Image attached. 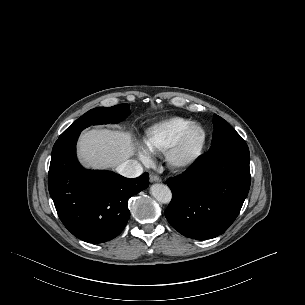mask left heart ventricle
<instances>
[{
    "instance_id": "left-heart-ventricle-1",
    "label": "left heart ventricle",
    "mask_w": 305,
    "mask_h": 305,
    "mask_svg": "<svg viewBox=\"0 0 305 305\" xmlns=\"http://www.w3.org/2000/svg\"><path fill=\"white\" fill-rule=\"evenodd\" d=\"M202 138V132L199 129H194L187 139V150H194L200 143Z\"/></svg>"
}]
</instances>
